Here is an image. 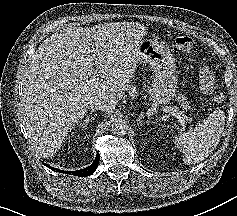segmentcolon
Here are the masks:
<instances>
[{
	"label": "colon",
	"instance_id": "1",
	"mask_svg": "<svg viewBox=\"0 0 237 216\" xmlns=\"http://www.w3.org/2000/svg\"><path fill=\"white\" fill-rule=\"evenodd\" d=\"M194 39L189 36H179L175 40V46L183 54L190 53L194 48ZM214 101L217 104H220L224 101L225 96L222 92H218L213 97Z\"/></svg>",
	"mask_w": 237,
	"mask_h": 216
}]
</instances>
